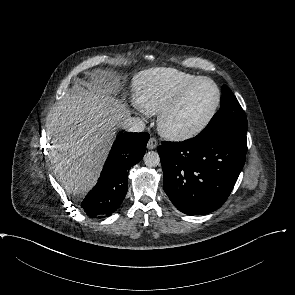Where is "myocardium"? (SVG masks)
<instances>
[{
  "label": "myocardium",
  "mask_w": 295,
  "mask_h": 295,
  "mask_svg": "<svg viewBox=\"0 0 295 295\" xmlns=\"http://www.w3.org/2000/svg\"><path fill=\"white\" fill-rule=\"evenodd\" d=\"M201 81H208L210 82L215 90H216V101L215 104L209 113V115L206 117V119L200 123L198 126L187 130V131H175L169 126V118L171 115L176 111V109L180 106V104L183 102L187 94ZM222 100V94L220 87L218 84L211 79L210 77L206 76H200L188 83L186 86H184L176 95L175 97L160 111L159 117H158V128L159 131L163 136L166 138L176 141V142H184L191 140L201 133H203L214 121Z\"/></svg>",
  "instance_id": "1"
}]
</instances>
